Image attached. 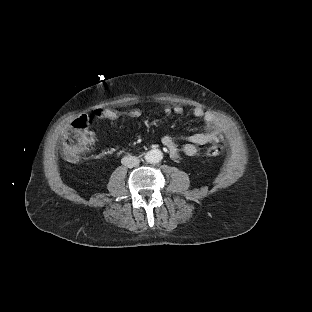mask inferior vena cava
Here are the masks:
<instances>
[{"mask_svg":"<svg viewBox=\"0 0 312 312\" xmlns=\"http://www.w3.org/2000/svg\"><path fill=\"white\" fill-rule=\"evenodd\" d=\"M125 166L132 168L139 164V159L136 156H126L124 159Z\"/></svg>","mask_w":312,"mask_h":312,"instance_id":"obj_1","label":"inferior vena cava"}]
</instances>
